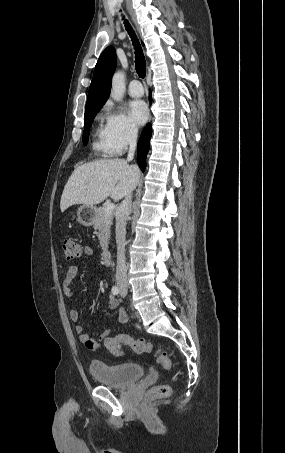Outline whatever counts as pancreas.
<instances>
[{
	"instance_id": "obj_1",
	"label": "pancreas",
	"mask_w": 285,
	"mask_h": 453,
	"mask_svg": "<svg viewBox=\"0 0 285 453\" xmlns=\"http://www.w3.org/2000/svg\"><path fill=\"white\" fill-rule=\"evenodd\" d=\"M113 215L104 212V208L100 207L96 210L93 227L99 231L98 239L103 251L108 248V240L110 238V228L112 225Z\"/></svg>"
}]
</instances>
